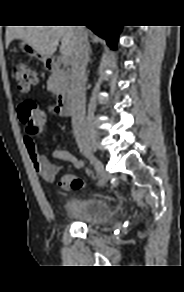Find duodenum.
Listing matches in <instances>:
<instances>
[{
  "mask_svg": "<svg viewBox=\"0 0 184 292\" xmlns=\"http://www.w3.org/2000/svg\"><path fill=\"white\" fill-rule=\"evenodd\" d=\"M47 69L56 75L57 80L62 85L56 101L57 111L63 117L73 115L79 103V97L76 89L69 83L70 74L61 69L59 60L56 58L48 59Z\"/></svg>",
  "mask_w": 184,
  "mask_h": 292,
  "instance_id": "1",
  "label": "duodenum"
}]
</instances>
